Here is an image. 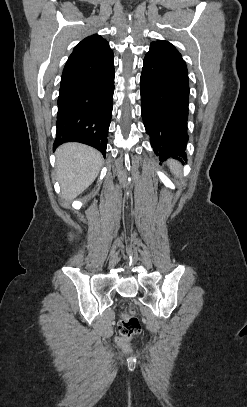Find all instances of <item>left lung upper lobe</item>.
<instances>
[{"label": "left lung upper lobe", "mask_w": 247, "mask_h": 407, "mask_svg": "<svg viewBox=\"0 0 247 407\" xmlns=\"http://www.w3.org/2000/svg\"><path fill=\"white\" fill-rule=\"evenodd\" d=\"M150 50L160 52L162 54L182 58L181 54L177 51V49L168 41L159 40L156 42H152L150 46Z\"/></svg>", "instance_id": "obj_1"}]
</instances>
